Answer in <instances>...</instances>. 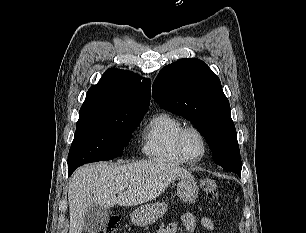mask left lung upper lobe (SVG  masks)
Returning <instances> with one entry per match:
<instances>
[{
  "label": "left lung upper lobe",
  "mask_w": 306,
  "mask_h": 233,
  "mask_svg": "<svg viewBox=\"0 0 306 233\" xmlns=\"http://www.w3.org/2000/svg\"><path fill=\"white\" fill-rule=\"evenodd\" d=\"M152 95L166 110L190 120L204 136L213 160L241 175V158L229 101L219 78L201 60L181 59L163 68Z\"/></svg>",
  "instance_id": "5c2ea615"
}]
</instances>
